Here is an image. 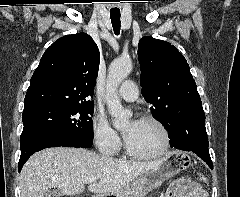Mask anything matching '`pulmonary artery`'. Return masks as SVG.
I'll return each instance as SVG.
<instances>
[{"label":"pulmonary artery","mask_w":240,"mask_h":197,"mask_svg":"<svg viewBox=\"0 0 240 197\" xmlns=\"http://www.w3.org/2000/svg\"><path fill=\"white\" fill-rule=\"evenodd\" d=\"M118 95L126 101H134L139 96L137 85L132 80H126L117 91Z\"/></svg>","instance_id":"e3ab8cb5"}]
</instances>
